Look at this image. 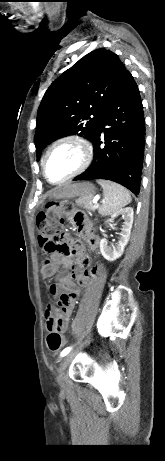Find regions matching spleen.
I'll return each mask as SVG.
<instances>
[{
  "mask_svg": "<svg viewBox=\"0 0 165 461\" xmlns=\"http://www.w3.org/2000/svg\"><path fill=\"white\" fill-rule=\"evenodd\" d=\"M103 188L104 199L99 208L103 216L110 215L131 202L129 191L123 186L107 180H98Z\"/></svg>",
  "mask_w": 165,
  "mask_h": 461,
  "instance_id": "obj_1",
  "label": "spleen"
}]
</instances>
